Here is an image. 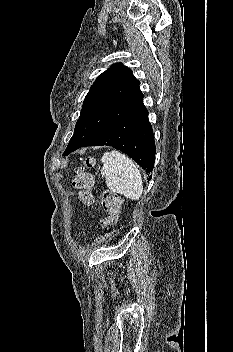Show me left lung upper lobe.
<instances>
[{
	"label": "left lung upper lobe",
	"mask_w": 233,
	"mask_h": 352,
	"mask_svg": "<svg viewBox=\"0 0 233 352\" xmlns=\"http://www.w3.org/2000/svg\"><path fill=\"white\" fill-rule=\"evenodd\" d=\"M140 82L121 63L104 71L85 97L74 134L64 153H71L99 137L110 126L143 104Z\"/></svg>",
	"instance_id": "5c2ea615"
}]
</instances>
